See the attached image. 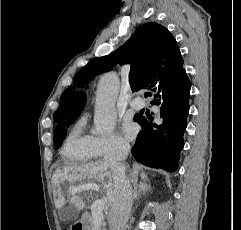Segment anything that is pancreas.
Wrapping results in <instances>:
<instances>
[{
	"mask_svg": "<svg viewBox=\"0 0 241 230\" xmlns=\"http://www.w3.org/2000/svg\"><path fill=\"white\" fill-rule=\"evenodd\" d=\"M87 220L90 226V230H102V226L104 225V218L99 224H95L92 217Z\"/></svg>",
	"mask_w": 241,
	"mask_h": 230,
	"instance_id": "cf45deb5",
	"label": "pancreas"
}]
</instances>
